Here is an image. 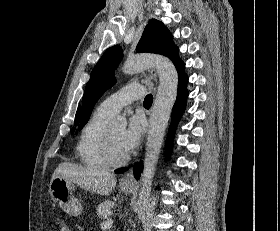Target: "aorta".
<instances>
[{"label":"aorta","mask_w":280,"mask_h":231,"mask_svg":"<svg viewBox=\"0 0 280 231\" xmlns=\"http://www.w3.org/2000/svg\"><path fill=\"white\" fill-rule=\"evenodd\" d=\"M147 68H155L159 76V86L147 133L144 169L137 201L138 213H144L148 203L165 129L175 104L178 88L177 70L171 60L164 58V56L141 54V56L129 58L126 60L122 72L123 74H137V72H142ZM111 123L112 125L114 123H118V125L127 123L126 117L116 116Z\"/></svg>","instance_id":"762f6f07"}]
</instances>
